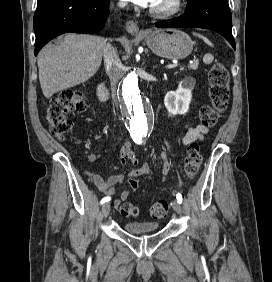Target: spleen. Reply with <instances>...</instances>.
<instances>
[{"instance_id":"1","label":"spleen","mask_w":272,"mask_h":282,"mask_svg":"<svg viewBox=\"0 0 272 282\" xmlns=\"http://www.w3.org/2000/svg\"><path fill=\"white\" fill-rule=\"evenodd\" d=\"M194 35L198 36L199 38L203 39V41L208 44L209 46H213V44L204 36L200 35V34H197V33H194Z\"/></svg>"}]
</instances>
